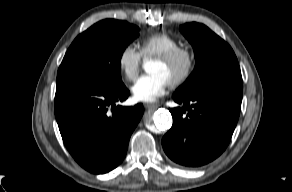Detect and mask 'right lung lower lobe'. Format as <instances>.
Listing matches in <instances>:
<instances>
[{"label":"right lung lower lobe","instance_id":"obj_1","mask_svg":"<svg viewBox=\"0 0 292 192\" xmlns=\"http://www.w3.org/2000/svg\"><path fill=\"white\" fill-rule=\"evenodd\" d=\"M130 92L91 81L57 80L55 117L64 144L76 162L91 173L103 174L124 159L130 136L140 121L142 104L116 106Z\"/></svg>","mask_w":292,"mask_h":192}]
</instances>
